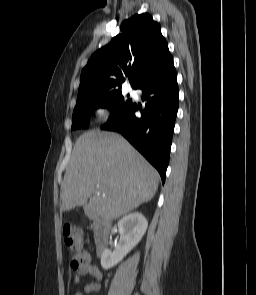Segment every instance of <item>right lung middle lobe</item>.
I'll use <instances>...</instances> for the list:
<instances>
[{
    "label": "right lung middle lobe",
    "mask_w": 256,
    "mask_h": 295,
    "mask_svg": "<svg viewBox=\"0 0 256 295\" xmlns=\"http://www.w3.org/2000/svg\"><path fill=\"white\" fill-rule=\"evenodd\" d=\"M131 101H124L122 94L110 96L106 98H88L77 100L73 118L72 130L87 128L89 125V116L97 108H108L111 112L110 117H115L122 114L131 106Z\"/></svg>",
    "instance_id": "dd1d6c3e"
}]
</instances>
